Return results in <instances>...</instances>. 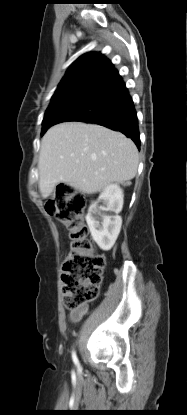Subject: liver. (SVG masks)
Masks as SVG:
<instances>
[{
    "label": "liver",
    "mask_w": 187,
    "mask_h": 415,
    "mask_svg": "<svg viewBox=\"0 0 187 415\" xmlns=\"http://www.w3.org/2000/svg\"><path fill=\"white\" fill-rule=\"evenodd\" d=\"M139 162L133 141L100 125L65 122L43 136L39 155V190L49 197L63 182L94 194L112 183L133 179Z\"/></svg>",
    "instance_id": "obj_1"
}]
</instances>
